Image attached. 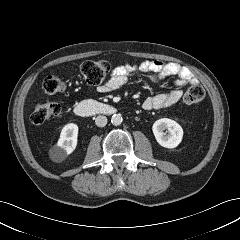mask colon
Here are the masks:
<instances>
[{
  "instance_id": "5ec220e1",
  "label": "colon",
  "mask_w": 240,
  "mask_h": 240,
  "mask_svg": "<svg viewBox=\"0 0 240 240\" xmlns=\"http://www.w3.org/2000/svg\"><path fill=\"white\" fill-rule=\"evenodd\" d=\"M81 76L85 85L97 86L105 79L110 71V65L105 61H86L81 66ZM43 88L46 93L54 94L64 89L63 80L55 74L48 75L43 81ZM205 96V90L200 84L191 85L184 94L183 100L188 105L199 104ZM61 112V104L58 102H46L37 104L31 114L34 124H42Z\"/></svg>"
}]
</instances>
